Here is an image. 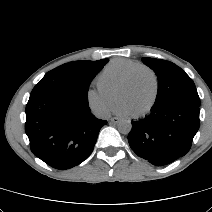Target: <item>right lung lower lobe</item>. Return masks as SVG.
Returning <instances> with one entry per match:
<instances>
[{"mask_svg":"<svg viewBox=\"0 0 212 212\" xmlns=\"http://www.w3.org/2000/svg\"><path fill=\"white\" fill-rule=\"evenodd\" d=\"M105 124L90 112L88 101L65 93H35L26 106L25 131L31 151L59 170L83 162Z\"/></svg>","mask_w":212,"mask_h":212,"instance_id":"obj_1","label":"right lung lower lobe"}]
</instances>
